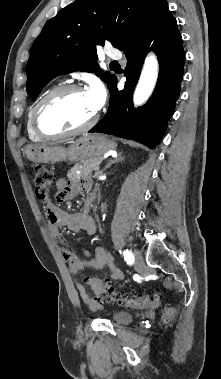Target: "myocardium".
Segmentation results:
<instances>
[{
    "mask_svg": "<svg viewBox=\"0 0 221 379\" xmlns=\"http://www.w3.org/2000/svg\"><path fill=\"white\" fill-rule=\"evenodd\" d=\"M72 92H83L82 87L76 84H67L59 86L55 89H53L51 92H49L47 95H45L40 102L36 105L33 116H32V123L35 131L43 138H49V139H56V138H62L67 137L71 135H75L81 132H84L91 128L98 120L99 116L98 113L95 112V114L84 124L68 129L63 131H57V132H51L46 130L42 126L41 118L44 110L55 100L69 94Z\"/></svg>",
    "mask_w": 221,
    "mask_h": 379,
    "instance_id": "obj_1",
    "label": "myocardium"
}]
</instances>
